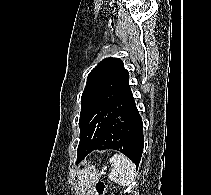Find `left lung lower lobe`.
I'll return each instance as SVG.
<instances>
[{
    "label": "left lung lower lobe",
    "mask_w": 211,
    "mask_h": 195,
    "mask_svg": "<svg viewBox=\"0 0 211 195\" xmlns=\"http://www.w3.org/2000/svg\"><path fill=\"white\" fill-rule=\"evenodd\" d=\"M144 146L143 125L134 98L105 127L93 150L114 149L130 159L138 167ZM91 151V152H92ZM86 156L77 160V163Z\"/></svg>",
    "instance_id": "left-lung-lower-lobe-1"
}]
</instances>
